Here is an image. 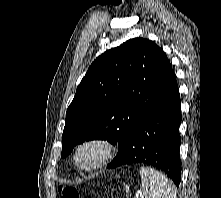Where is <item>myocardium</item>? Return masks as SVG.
I'll list each match as a JSON object with an SVG mask.
<instances>
[{"mask_svg": "<svg viewBox=\"0 0 221 198\" xmlns=\"http://www.w3.org/2000/svg\"><path fill=\"white\" fill-rule=\"evenodd\" d=\"M94 149L97 152L95 161L91 164L84 165L79 160L80 153L85 149ZM115 144L112 140L103 136H94L80 141L73 151V162L75 166L84 172H91L102 168L113 157Z\"/></svg>", "mask_w": 221, "mask_h": 198, "instance_id": "obj_1", "label": "myocardium"}]
</instances>
